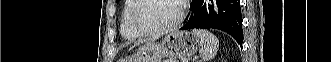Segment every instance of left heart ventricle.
<instances>
[{
	"instance_id": "left-heart-ventricle-1",
	"label": "left heart ventricle",
	"mask_w": 331,
	"mask_h": 62,
	"mask_svg": "<svg viewBox=\"0 0 331 62\" xmlns=\"http://www.w3.org/2000/svg\"><path fill=\"white\" fill-rule=\"evenodd\" d=\"M178 13L176 0H146L138 12V19L145 27L159 28L171 24Z\"/></svg>"
}]
</instances>
